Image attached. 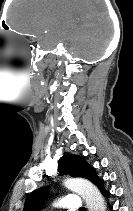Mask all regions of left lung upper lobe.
<instances>
[{"instance_id":"left-lung-upper-lobe-1","label":"left lung upper lobe","mask_w":133,"mask_h":211,"mask_svg":"<svg viewBox=\"0 0 133 211\" xmlns=\"http://www.w3.org/2000/svg\"><path fill=\"white\" fill-rule=\"evenodd\" d=\"M58 171L61 175L69 173L73 177L86 178L101 190L103 189V180L96 175L95 169L81 156L65 154L59 160ZM49 191V186L34 190L25 201L23 211H39L44 206Z\"/></svg>"}]
</instances>
